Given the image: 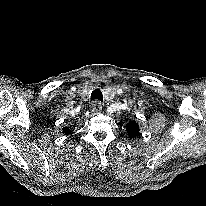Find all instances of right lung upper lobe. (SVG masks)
<instances>
[{
	"instance_id": "cb5924a9",
	"label": "right lung upper lobe",
	"mask_w": 206,
	"mask_h": 206,
	"mask_svg": "<svg viewBox=\"0 0 206 206\" xmlns=\"http://www.w3.org/2000/svg\"><path fill=\"white\" fill-rule=\"evenodd\" d=\"M71 132H72L71 129H69V128H67V127H64V128H63V133H64V134L69 135V134H71Z\"/></svg>"
}]
</instances>
